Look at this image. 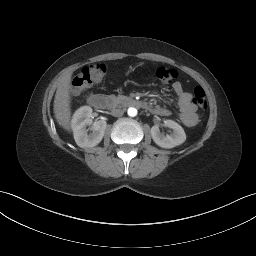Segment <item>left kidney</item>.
<instances>
[{"mask_svg":"<svg viewBox=\"0 0 256 256\" xmlns=\"http://www.w3.org/2000/svg\"><path fill=\"white\" fill-rule=\"evenodd\" d=\"M164 123L167 127L173 130L168 135L161 133L158 125H154L151 128L152 139L158 146L170 149L185 142L186 134L183 128L177 122L167 119L164 121Z\"/></svg>","mask_w":256,"mask_h":256,"instance_id":"obj_1","label":"left kidney"}]
</instances>
